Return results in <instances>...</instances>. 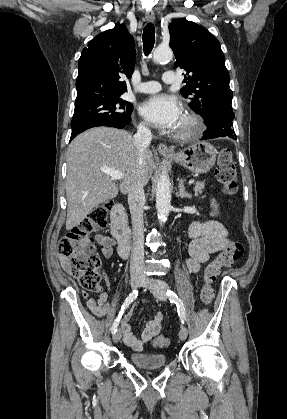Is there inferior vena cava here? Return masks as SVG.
<instances>
[{"label":"inferior vena cava","mask_w":287,"mask_h":419,"mask_svg":"<svg viewBox=\"0 0 287 419\" xmlns=\"http://www.w3.org/2000/svg\"><path fill=\"white\" fill-rule=\"evenodd\" d=\"M135 144L138 150L137 173L128 192V205L131 213L133 229V245L130 260L131 276H144V206L145 194L143 183L140 178V165L144 158V151L148 148L152 140V133L144 125L138 127L134 135Z\"/></svg>","instance_id":"1"}]
</instances>
